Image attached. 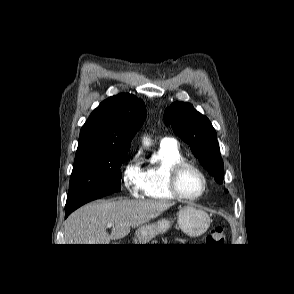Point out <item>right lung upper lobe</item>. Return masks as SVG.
Here are the masks:
<instances>
[{
	"label": "right lung upper lobe",
	"mask_w": 294,
	"mask_h": 294,
	"mask_svg": "<svg viewBox=\"0 0 294 294\" xmlns=\"http://www.w3.org/2000/svg\"><path fill=\"white\" fill-rule=\"evenodd\" d=\"M146 117L145 104L132 94H119L103 101L83 125L78 149L117 147L130 143Z\"/></svg>",
	"instance_id": "cb5924a9"
}]
</instances>
